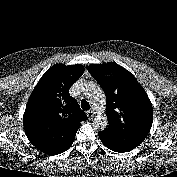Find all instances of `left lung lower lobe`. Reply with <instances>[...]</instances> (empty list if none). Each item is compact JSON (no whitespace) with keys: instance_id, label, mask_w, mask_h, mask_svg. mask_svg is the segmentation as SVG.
Wrapping results in <instances>:
<instances>
[{"instance_id":"obj_1","label":"left lung lower lobe","mask_w":177,"mask_h":177,"mask_svg":"<svg viewBox=\"0 0 177 177\" xmlns=\"http://www.w3.org/2000/svg\"><path fill=\"white\" fill-rule=\"evenodd\" d=\"M102 143L109 149L117 152H126L129 150H132L133 148L126 149L124 144L121 143H115V142H107V141H102Z\"/></svg>"}]
</instances>
